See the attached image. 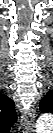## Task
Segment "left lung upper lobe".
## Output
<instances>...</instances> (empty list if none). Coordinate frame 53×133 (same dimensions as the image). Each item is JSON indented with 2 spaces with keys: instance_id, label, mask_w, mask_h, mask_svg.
I'll return each instance as SVG.
<instances>
[{
  "instance_id": "obj_1",
  "label": "left lung upper lobe",
  "mask_w": 53,
  "mask_h": 133,
  "mask_svg": "<svg viewBox=\"0 0 53 133\" xmlns=\"http://www.w3.org/2000/svg\"><path fill=\"white\" fill-rule=\"evenodd\" d=\"M40 110L42 113H53V97L51 93H48L40 102Z\"/></svg>"
}]
</instances>
